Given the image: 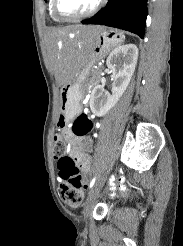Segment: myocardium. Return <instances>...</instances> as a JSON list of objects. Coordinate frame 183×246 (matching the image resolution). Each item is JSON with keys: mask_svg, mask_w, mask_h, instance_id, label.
I'll return each mask as SVG.
<instances>
[{"mask_svg": "<svg viewBox=\"0 0 183 246\" xmlns=\"http://www.w3.org/2000/svg\"><path fill=\"white\" fill-rule=\"evenodd\" d=\"M104 2L105 0H98L96 4L87 12L80 14V15H76V16H68V15L63 14L60 11V7H59L60 0H52V10H53L55 17L58 18L59 20L73 22V21H79V20H82V19H85V18H88L94 15L96 12L100 10Z\"/></svg>", "mask_w": 183, "mask_h": 246, "instance_id": "obj_1", "label": "myocardium"}]
</instances>
